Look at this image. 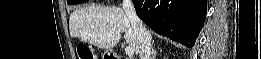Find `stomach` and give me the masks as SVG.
<instances>
[{"mask_svg":"<svg viewBox=\"0 0 261 59\" xmlns=\"http://www.w3.org/2000/svg\"><path fill=\"white\" fill-rule=\"evenodd\" d=\"M105 56H107V53H105V54H103V55H102V59H104V58H105Z\"/></svg>","mask_w":261,"mask_h":59,"instance_id":"obj_1","label":"stomach"}]
</instances>
